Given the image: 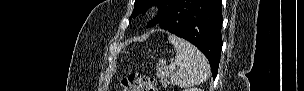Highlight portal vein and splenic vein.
Instances as JSON below:
<instances>
[{"label":"portal vein and splenic vein","mask_w":304,"mask_h":91,"mask_svg":"<svg viewBox=\"0 0 304 91\" xmlns=\"http://www.w3.org/2000/svg\"><path fill=\"white\" fill-rule=\"evenodd\" d=\"M170 68H171V69H175V68H176V65H175L174 63H171V64H170Z\"/></svg>","instance_id":"obj_1"}]
</instances>
